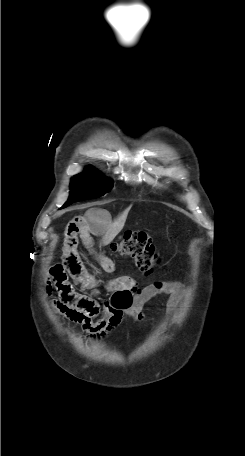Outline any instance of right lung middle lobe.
<instances>
[{
  "instance_id": "1",
  "label": "right lung middle lobe",
  "mask_w": 245,
  "mask_h": 456,
  "mask_svg": "<svg viewBox=\"0 0 245 456\" xmlns=\"http://www.w3.org/2000/svg\"><path fill=\"white\" fill-rule=\"evenodd\" d=\"M113 187L112 180L103 177L97 171L88 168L84 173L74 176L70 183V197L63 208L68 205L91 198H98Z\"/></svg>"
}]
</instances>
